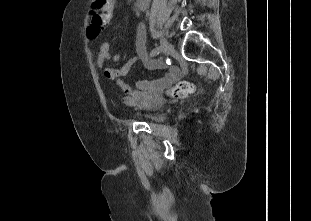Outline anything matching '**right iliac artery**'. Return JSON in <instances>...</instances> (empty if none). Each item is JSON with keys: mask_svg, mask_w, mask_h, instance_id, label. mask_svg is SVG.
Masks as SVG:
<instances>
[{"mask_svg": "<svg viewBox=\"0 0 311 221\" xmlns=\"http://www.w3.org/2000/svg\"><path fill=\"white\" fill-rule=\"evenodd\" d=\"M161 51V48L160 47H157L155 49H153L151 52H150V58L154 57V56H157Z\"/></svg>", "mask_w": 311, "mask_h": 221, "instance_id": "82829eb1", "label": "right iliac artery"}]
</instances>
